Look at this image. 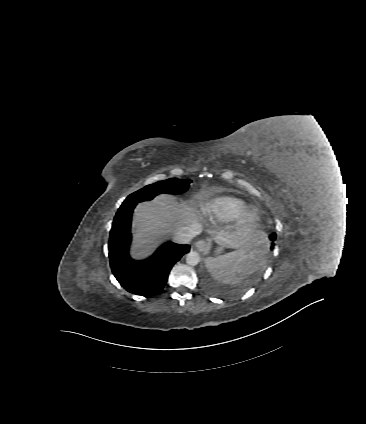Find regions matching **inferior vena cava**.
<instances>
[{
	"label": "inferior vena cava",
	"mask_w": 366,
	"mask_h": 424,
	"mask_svg": "<svg viewBox=\"0 0 366 424\" xmlns=\"http://www.w3.org/2000/svg\"><path fill=\"white\" fill-rule=\"evenodd\" d=\"M196 234L197 229L195 226H184L173 233V240L177 243L186 244L189 243Z\"/></svg>",
	"instance_id": "602c4592"
}]
</instances>
